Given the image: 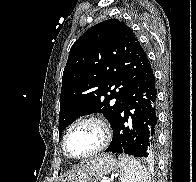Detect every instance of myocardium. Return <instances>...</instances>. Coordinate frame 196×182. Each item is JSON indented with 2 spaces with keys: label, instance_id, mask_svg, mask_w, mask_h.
<instances>
[{
  "label": "myocardium",
  "instance_id": "obj_1",
  "mask_svg": "<svg viewBox=\"0 0 196 182\" xmlns=\"http://www.w3.org/2000/svg\"><path fill=\"white\" fill-rule=\"evenodd\" d=\"M88 123L94 124L98 127L100 131V135H101L99 144L93 150H91L90 152L84 155L78 156V155H74L70 153L68 149V144H67L70 133L76 127L83 125V124H88ZM110 139H111V130H110L108 123L103 118L97 115H88V116L81 117L75 122H73L69 126V128L66 130L65 135L63 137V149H64L65 154L72 159H76V160L88 159V158H91L99 154L101 151H103L109 144Z\"/></svg>",
  "mask_w": 196,
  "mask_h": 182
}]
</instances>
